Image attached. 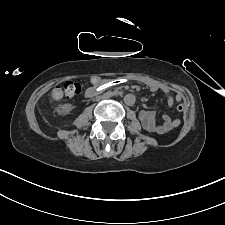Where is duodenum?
Wrapping results in <instances>:
<instances>
[{
    "label": "duodenum",
    "instance_id": "1",
    "mask_svg": "<svg viewBox=\"0 0 225 225\" xmlns=\"http://www.w3.org/2000/svg\"><path fill=\"white\" fill-rule=\"evenodd\" d=\"M119 94V92H108L106 94H104V96H111V95H116Z\"/></svg>",
    "mask_w": 225,
    "mask_h": 225
}]
</instances>
